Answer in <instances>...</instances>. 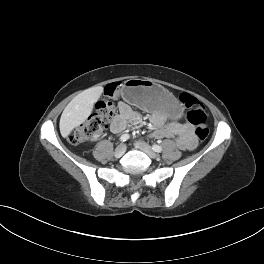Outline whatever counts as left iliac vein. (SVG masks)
<instances>
[{
  "label": "left iliac vein",
  "instance_id": "obj_1",
  "mask_svg": "<svg viewBox=\"0 0 264 264\" xmlns=\"http://www.w3.org/2000/svg\"><path fill=\"white\" fill-rule=\"evenodd\" d=\"M134 146L137 149L145 152L150 158L153 159L157 158V154L151 149V147L147 143L142 141H137L134 143Z\"/></svg>",
  "mask_w": 264,
  "mask_h": 264
}]
</instances>
